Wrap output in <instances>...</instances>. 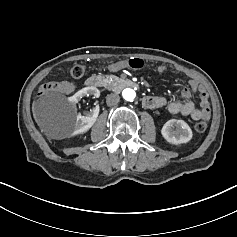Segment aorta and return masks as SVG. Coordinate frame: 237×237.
Listing matches in <instances>:
<instances>
[{
  "instance_id": "762f6f07",
  "label": "aorta",
  "mask_w": 237,
  "mask_h": 237,
  "mask_svg": "<svg viewBox=\"0 0 237 237\" xmlns=\"http://www.w3.org/2000/svg\"><path fill=\"white\" fill-rule=\"evenodd\" d=\"M122 96L125 100L127 101H133L134 98L136 97V92L131 89V88H125L123 91H122Z\"/></svg>"
}]
</instances>
